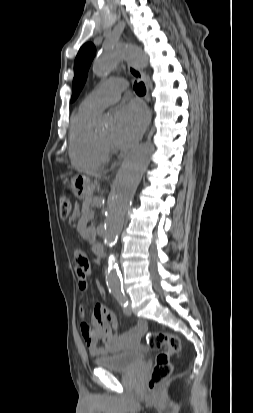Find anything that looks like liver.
Returning <instances> with one entry per match:
<instances>
[{
    "label": "liver",
    "mask_w": 253,
    "mask_h": 413,
    "mask_svg": "<svg viewBox=\"0 0 253 413\" xmlns=\"http://www.w3.org/2000/svg\"><path fill=\"white\" fill-rule=\"evenodd\" d=\"M94 176H95V177H99V175H98V174H94Z\"/></svg>",
    "instance_id": "6515ba94"
}]
</instances>
